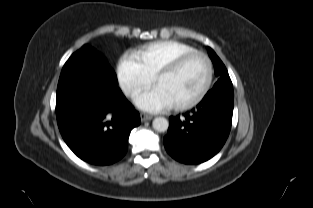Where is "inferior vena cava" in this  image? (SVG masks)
Listing matches in <instances>:
<instances>
[{
  "mask_svg": "<svg viewBox=\"0 0 313 208\" xmlns=\"http://www.w3.org/2000/svg\"><path fill=\"white\" fill-rule=\"evenodd\" d=\"M131 90H127L126 92L129 93Z\"/></svg>",
  "mask_w": 313,
  "mask_h": 208,
  "instance_id": "1",
  "label": "inferior vena cava"
}]
</instances>
